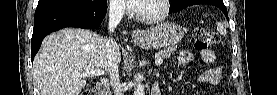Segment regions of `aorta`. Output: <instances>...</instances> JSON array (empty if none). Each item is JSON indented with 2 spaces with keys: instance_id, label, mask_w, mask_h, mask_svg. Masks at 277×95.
<instances>
[{
  "instance_id": "1",
  "label": "aorta",
  "mask_w": 277,
  "mask_h": 95,
  "mask_svg": "<svg viewBox=\"0 0 277 95\" xmlns=\"http://www.w3.org/2000/svg\"><path fill=\"white\" fill-rule=\"evenodd\" d=\"M134 95H144V86L139 77L136 78V83L134 84Z\"/></svg>"
}]
</instances>
